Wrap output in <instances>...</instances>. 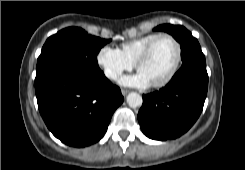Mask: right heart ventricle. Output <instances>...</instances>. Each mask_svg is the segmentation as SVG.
Returning <instances> with one entry per match:
<instances>
[{"instance_id":"right-heart-ventricle-1","label":"right heart ventricle","mask_w":245,"mask_h":170,"mask_svg":"<svg viewBox=\"0 0 245 170\" xmlns=\"http://www.w3.org/2000/svg\"><path fill=\"white\" fill-rule=\"evenodd\" d=\"M159 34L160 33H151V34H147L142 37L136 38L134 40L125 42L121 46V51L128 60L134 63L137 56L146 47V45Z\"/></svg>"}]
</instances>
